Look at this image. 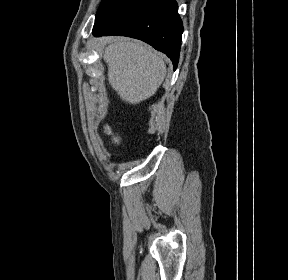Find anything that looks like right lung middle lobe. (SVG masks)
<instances>
[{
    "label": "right lung middle lobe",
    "mask_w": 288,
    "mask_h": 280,
    "mask_svg": "<svg viewBox=\"0 0 288 280\" xmlns=\"http://www.w3.org/2000/svg\"><path fill=\"white\" fill-rule=\"evenodd\" d=\"M122 0H102L97 14H96V18H98L104 11H106L108 8H110L111 6L121 2Z\"/></svg>",
    "instance_id": "dd1d6c3e"
}]
</instances>
